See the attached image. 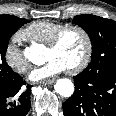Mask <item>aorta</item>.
<instances>
[{"mask_svg":"<svg viewBox=\"0 0 116 116\" xmlns=\"http://www.w3.org/2000/svg\"><path fill=\"white\" fill-rule=\"evenodd\" d=\"M24 54L34 64H39L42 60V56L35 46L26 48ZM55 91L63 97H70L74 92V85L69 79H58L55 84Z\"/></svg>","mask_w":116,"mask_h":116,"instance_id":"obj_1","label":"aorta"}]
</instances>
